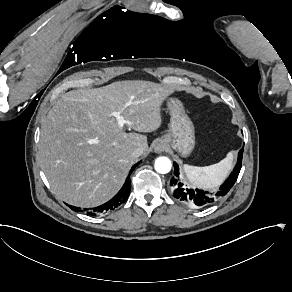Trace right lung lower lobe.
<instances>
[{
  "instance_id": "98d812e1",
  "label": "right lung lower lobe",
  "mask_w": 292,
  "mask_h": 292,
  "mask_svg": "<svg viewBox=\"0 0 292 292\" xmlns=\"http://www.w3.org/2000/svg\"><path fill=\"white\" fill-rule=\"evenodd\" d=\"M140 162H138L137 164H135L131 170L130 173L135 169V167L139 164ZM130 187H131V181L129 179V177L126 179L123 187L121 188V190L107 203L95 207L91 210H87V214L88 215H96V213L98 212H107V211H111L114 210L115 208H117L118 206H120L122 203H124L130 193ZM73 211H83L80 210L78 207L75 206H69ZM86 210V209H84Z\"/></svg>"
}]
</instances>
